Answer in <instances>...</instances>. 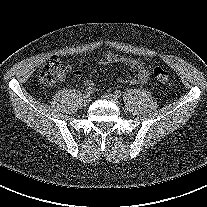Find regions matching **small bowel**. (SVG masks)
Segmentation results:
<instances>
[{
  "instance_id": "small-bowel-1",
  "label": "small bowel",
  "mask_w": 207,
  "mask_h": 207,
  "mask_svg": "<svg viewBox=\"0 0 207 207\" xmlns=\"http://www.w3.org/2000/svg\"><path fill=\"white\" fill-rule=\"evenodd\" d=\"M116 62H123L136 71V75L132 79L128 80V82L136 85H142L148 81L149 78L148 70L146 69L144 63L140 60L134 59L129 56L118 55L112 52H107L101 60L102 64H112ZM68 68L73 76L76 77L81 76L82 73L79 69L74 68L72 65H69ZM64 79H65V73H62L61 76L59 77V80L63 81ZM118 81L123 82L122 79H118ZM85 84L88 87L92 88V90L96 89L95 84L91 79H86Z\"/></svg>"
}]
</instances>
